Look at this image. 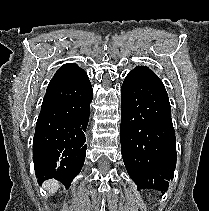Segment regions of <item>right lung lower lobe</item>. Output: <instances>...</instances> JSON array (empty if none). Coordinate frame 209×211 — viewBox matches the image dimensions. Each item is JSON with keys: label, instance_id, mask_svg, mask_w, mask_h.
Listing matches in <instances>:
<instances>
[{"label": "right lung lower lobe", "instance_id": "98d812e1", "mask_svg": "<svg viewBox=\"0 0 209 211\" xmlns=\"http://www.w3.org/2000/svg\"><path fill=\"white\" fill-rule=\"evenodd\" d=\"M93 90L80 69L47 89L36 123L33 161L39 184L51 178L69 187L86 156L85 131Z\"/></svg>", "mask_w": 209, "mask_h": 211}]
</instances>
